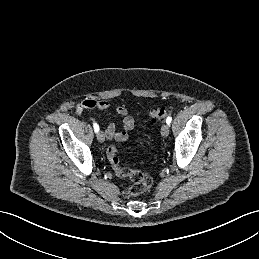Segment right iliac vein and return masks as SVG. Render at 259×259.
<instances>
[{"mask_svg": "<svg viewBox=\"0 0 259 259\" xmlns=\"http://www.w3.org/2000/svg\"><path fill=\"white\" fill-rule=\"evenodd\" d=\"M97 139L101 143H103L105 141V136H104V133L102 131L97 133Z\"/></svg>", "mask_w": 259, "mask_h": 259, "instance_id": "63e3f726", "label": "right iliac vein"}]
</instances>
